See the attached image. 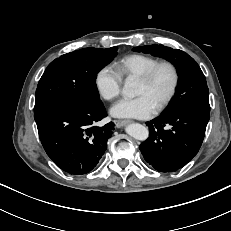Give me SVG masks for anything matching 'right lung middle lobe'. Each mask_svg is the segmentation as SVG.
I'll return each instance as SVG.
<instances>
[{
	"instance_id": "right-lung-middle-lobe-1",
	"label": "right lung middle lobe",
	"mask_w": 231,
	"mask_h": 231,
	"mask_svg": "<svg viewBox=\"0 0 231 231\" xmlns=\"http://www.w3.org/2000/svg\"><path fill=\"white\" fill-rule=\"evenodd\" d=\"M117 49L83 48L52 61L38 83L34 112L62 104H101L96 77L117 55Z\"/></svg>"
}]
</instances>
